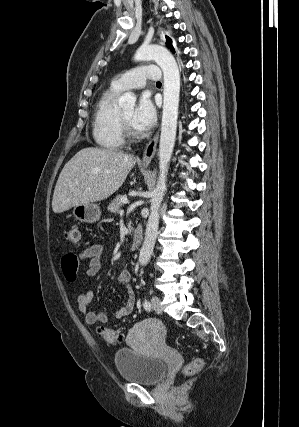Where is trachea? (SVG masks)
Here are the masks:
<instances>
[{"label":"trachea","mask_w":299,"mask_h":427,"mask_svg":"<svg viewBox=\"0 0 299 427\" xmlns=\"http://www.w3.org/2000/svg\"><path fill=\"white\" fill-rule=\"evenodd\" d=\"M156 84H161V82H157Z\"/></svg>","instance_id":"1"}]
</instances>
